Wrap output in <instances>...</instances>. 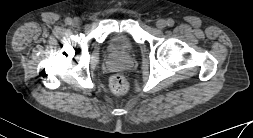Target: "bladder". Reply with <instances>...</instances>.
Wrapping results in <instances>:
<instances>
[{
	"instance_id": "31cf9c89",
	"label": "bladder",
	"mask_w": 253,
	"mask_h": 138,
	"mask_svg": "<svg viewBox=\"0 0 253 138\" xmlns=\"http://www.w3.org/2000/svg\"><path fill=\"white\" fill-rule=\"evenodd\" d=\"M111 51L131 55L136 50V43L133 38L125 33L113 34L108 42Z\"/></svg>"
}]
</instances>
